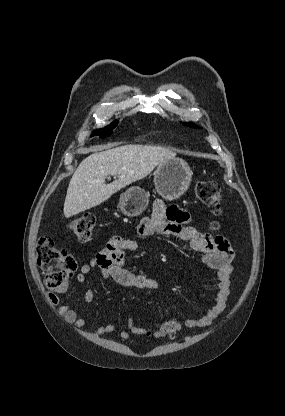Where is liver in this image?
<instances>
[{
  "label": "liver",
  "mask_w": 285,
  "mask_h": 416,
  "mask_svg": "<svg viewBox=\"0 0 285 416\" xmlns=\"http://www.w3.org/2000/svg\"><path fill=\"white\" fill-rule=\"evenodd\" d=\"M114 146L118 144L83 148L82 154H94L82 160L70 180L64 202L65 218L99 206L112 194L146 178L156 166L176 156L159 146ZM107 176L119 178L112 184H105Z\"/></svg>",
  "instance_id": "obj_1"
}]
</instances>
